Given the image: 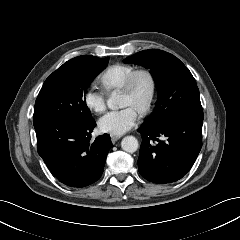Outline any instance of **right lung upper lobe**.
I'll return each mask as SVG.
<instances>
[{"mask_svg": "<svg viewBox=\"0 0 240 240\" xmlns=\"http://www.w3.org/2000/svg\"><path fill=\"white\" fill-rule=\"evenodd\" d=\"M96 58L97 57L91 56V55L78 56V57H75V58L67 61L66 63H64L60 67V69L70 67V66H73V65L89 64V63L95 61Z\"/></svg>", "mask_w": 240, "mask_h": 240, "instance_id": "obj_1", "label": "right lung upper lobe"}]
</instances>
